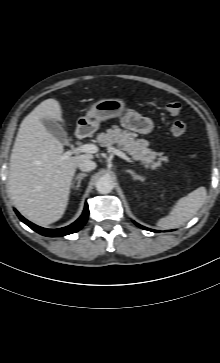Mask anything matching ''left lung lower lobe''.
Listing matches in <instances>:
<instances>
[{
    "label": "left lung lower lobe",
    "mask_w": 220,
    "mask_h": 363,
    "mask_svg": "<svg viewBox=\"0 0 220 363\" xmlns=\"http://www.w3.org/2000/svg\"><path fill=\"white\" fill-rule=\"evenodd\" d=\"M138 227H140V228H142V229H145V230H149V231H153V232H155L154 230H151V229H148V228H146V227H144V226H141L140 224H138V223H135Z\"/></svg>",
    "instance_id": "1"
}]
</instances>
